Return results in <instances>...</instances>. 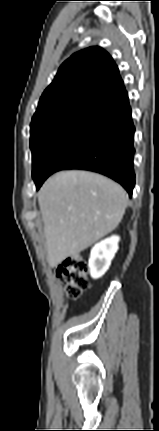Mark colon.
I'll return each instance as SVG.
<instances>
[{"label": "colon", "instance_id": "5ec220e1", "mask_svg": "<svg viewBox=\"0 0 159 431\" xmlns=\"http://www.w3.org/2000/svg\"><path fill=\"white\" fill-rule=\"evenodd\" d=\"M88 271V264L80 254L69 256L58 265L57 277L72 299H78L89 288Z\"/></svg>", "mask_w": 159, "mask_h": 431}]
</instances>
